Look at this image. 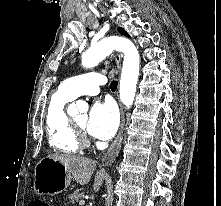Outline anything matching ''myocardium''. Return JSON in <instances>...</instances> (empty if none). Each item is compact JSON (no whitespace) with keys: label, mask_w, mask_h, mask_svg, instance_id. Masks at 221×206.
I'll return each instance as SVG.
<instances>
[{"label":"myocardium","mask_w":221,"mask_h":206,"mask_svg":"<svg viewBox=\"0 0 221 206\" xmlns=\"http://www.w3.org/2000/svg\"><path fill=\"white\" fill-rule=\"evenodd\" d=\"M72 124L77 132L80 144L82 146H89V141L86 138L84 127L80 126L75 120H72Z\"/></svg>","instance_id":"myocardium-1"}]
</instances>
